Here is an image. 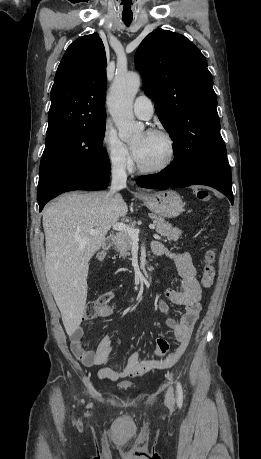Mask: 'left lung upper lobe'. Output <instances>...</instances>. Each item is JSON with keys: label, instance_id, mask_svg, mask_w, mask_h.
<instances>
[{"label": "left lung upper lobe", "instance_id": "left-lung-upper-lobe-1", "mask_svg": "<svg viewBox=\"0 0 261 459\" xmlns=\"http://www.w3.org/2000/svg\"><path fill=\"white\" fill-rule=\"evenodd\" d=\"M135 63L143 90L174 141L170 166L185 172L203 159L226 154L212 75L200 50L183 35L157 29L140 44Z\"/></svg>", "mask_w": 261, "mask_h": 459}]
</instances>
